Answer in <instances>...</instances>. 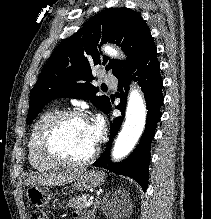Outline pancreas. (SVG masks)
<instances>
[{
	"label": "pancreas",
	"mask_w": 211,
	"mask_h": 219,
	"mask_svg": "<svg viewBox=\"0 0 211 219\" xmlns=\"http://www.w3.org/2000/svg\"><path fill=\"white\" fill-rule=\"evenodd\" d=\"M88 198H89L88 194H83L82 196H76L69 200L67 206L75 209H83L86 207V202Z\"/></svg>",
	"instance_id": "obj_1"
}]
</instances>
